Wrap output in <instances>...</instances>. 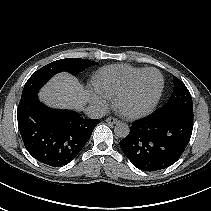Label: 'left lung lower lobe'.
Returning a JSON list of instances; mask_svg holds the SVG:
<instances>
[{
  "mask_svg": "<svg viewBox=\"0 0 211 211\" xmlns=\"http://www.w3.org/2000/svg\"><path fill=\"white\" fill-rule=\"evenodd\" d=\"M193 130V118L183 114H152L132 123L120 147L130 162L143 171L174 164L184 152Z\"/></svg>",
  "mask_w": 211,
  "mask_h": 211,
  "instance_id": "left-lung-lower-lobe-1",
  "label": "left lung lower lobe"
}]
</instances>
